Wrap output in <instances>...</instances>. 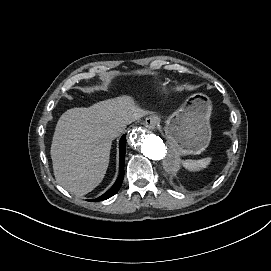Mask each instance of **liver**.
<instances>
[{"instance_id": "1", "label": "liver", "mask_w": 271, "mask_h": 271, "mask_svg": "<svg viewBox=\"0 0 271 271\" xmlns=\"http://www.w3.org/2000/svg\"><path fill=\"white\" fill-rule=\"evenodd\" d=\"M143 114L127 97L67 110L51 147L57 182L79 197L93 191L106 174L115 135Z\"/></svg>"}]
</instances>
